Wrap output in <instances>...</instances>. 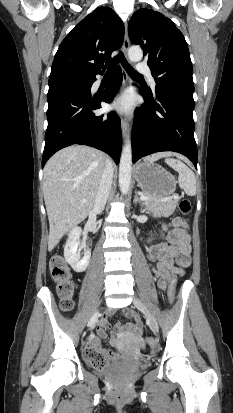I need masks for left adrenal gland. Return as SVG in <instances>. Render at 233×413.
<instances>
[{
	"label": "left adrenal gland",
	"instance_id": "obj_1",
	"mask_svg": "<svg viewBox=\"0 0 233 413\" xmlns=\"http://www.w3.org/2000/svg\"><path fill=\"white\" fill-rule=\"evenodd\" d=\"M133 202H134V203H137V202H138V203L140 204L141 210H142L143 202H142V200H141V199L139 198V196H138L137 189H135V196H134Z\"/></svg>",
	"mask_w": 233,
	"mask_h": 413
}]
</instances>
